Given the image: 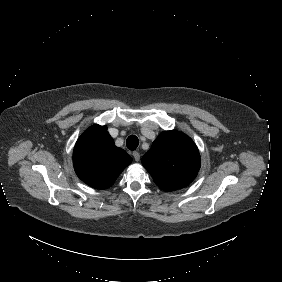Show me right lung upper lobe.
I'll return each instance as SVG.
<instances>
[{"mask_svg":"<svg viewBox=\"0 0 282 282\" xmlns=\"http://www.w3.org/2000/svg\"><path fill=\"white\" fill-rule=\"evenodd\" d=\"M132 158L114 145L106 126L93 125L77 140L73 164L78 177L96 189H107L116 181Z\"/></svg>","mask_w":282,"mask_h":282,"instance_id":"right-lung-upper-lobe-1","label":"right lung upper lobe"}]
</instances>
